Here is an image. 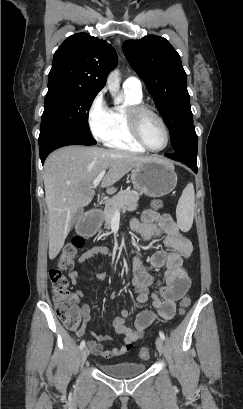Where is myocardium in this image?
I'll return each mask as SVG.
<instances>
[{"instance_id": "1", "label": "myocardium", "mask_w": 243, "mask_h": 409, "mask_svg": "<svg viewBox=\"0 0 243 409\" xmlns=\"http://www.w3.org/2000/svg\"><path fill=\"white\" fill-rule=\"evenodd\" d=\"M145 114L152 115L162 125L164 132H165V136H166V142L163 147L153 148L145 142L142 136L141 127H140V120L142 116H144ZM125 115H126L127 124H128V128H129L131 136L144 149L151 151V152H161L168 147L170 143V131H169V128L165 120L158 112H156L149 106L140 103V104L128 106L126 108Z\"/></svg>"}]
</instances>
